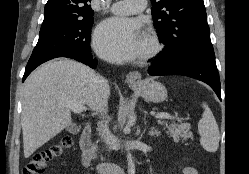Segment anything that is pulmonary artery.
I'll use <instances>...</instances> for the list:
<instances>
[{"label":"pulmonary artery","instance_id":"pulmonary-artery-1","mask_svg":"<svg viewBox=\"0 0 249 174\" xmlns=\"http://www.w3.org/2000/svg\"><path fill=\"white\" fill-rule=\"evenodd\" d=\"M146 6V0H121L111 6V11L118 15L133 14L142 11Z\"/></svg>","mask_w":249,"mask_h":174}]
</instances>
